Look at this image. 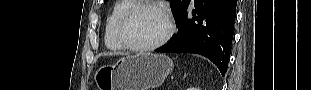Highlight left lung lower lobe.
Here are the masks:
<instances>
[{
	"label": "left lung lower lobe",
	"instance_id": "obj_1",
	"mask_svg": "<svg viewBox=\"0 0 311 90\" xmlns=\"http://www.w3.org/2000/svg\"><path fill=\"white\" fill-rule=\"evenodd\" d=\"M237 0H194L178 16L179 30L172 41L156 52L196 53L207 57L225 75L231 53Z\"/></svg>",
	"mask_w": 311,
	"mask_h": 90
}]
</instances>
